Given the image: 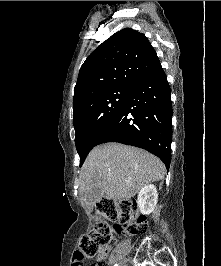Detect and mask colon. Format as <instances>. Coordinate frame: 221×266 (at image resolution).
I'll return each instance as SVG.
<instances>
[{
    "mask_svg": "<svg viewBox=\"0 0 221 266\" xmlns=\"http://www.w3.org/2000/svg\"><path fill=\"white\" fill-rule=\"evenodd\" d=\"M95 214L98 221L81 238L79 251L84 252V257H80L82 260L98 258L91 266H106L99 256L114 234L138 236L145 234L148 228L147 219L138 213L137 202L134 200L102 199L96 204Z\"/></svg>",
    "mask_w": 221,
    "mask_h": 266,
    "instance_id": "5ec220e1",
    "label": "colon"
}]
</instances>
